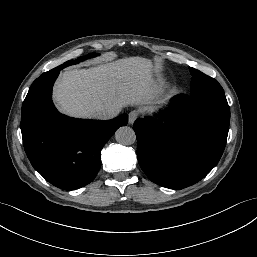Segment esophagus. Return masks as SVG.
Returning a JSON list of instances; mask_svg holds the SVG:
<instances>
[{"instance_id":"34e87169","label":"esophagus","mask_w":257,"mask_h":257,"mask_svg":"<svg viewBox=\"0 0 257 257\" xmlns=\"http://www.w3.org/2000/svg\"><path fill=\"white\" fill-rule=\"evenodd\" d=\"M138 117V112L136 110H133L129 113V123L133 124Z\"/></svg>"}]
</instances>
